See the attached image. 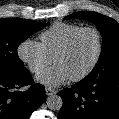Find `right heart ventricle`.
<instances>
[{
  "instance_id": "1",
  "label": "right heart ventricle",
  "mask_w": 119,
  "mask_h": 119,
  "mask_svg": "<svg viewBox=\"0 0 119 119\" xmlns=\"http://www.w3.org/2000/svg\"><path fill=\"white\" fill-rule=\"evenodd\" d=\"M82 26L66 22H57L40 35L41 45L53 59L67 40Z\"/></svg>"
}]
</instances>
